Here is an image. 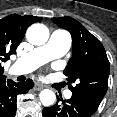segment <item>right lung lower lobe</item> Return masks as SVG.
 Listing matches in <instances>:
<instances>
[{
    "mask_svg": "<svg viewBox=\"0 0 117 117\" xmlns=\"http://www.w3.org/2000/svg\"><path fill=\"white\" fill-rule=\"evenodd\" d=\"M33 84L31 79L20 83L12 80L0 83V117H15L17 95L28 92Z\"/></svg>",
    "mask_w": 117,
    "mask_h": 117,
    "instance_id": "98d812e1",
    "label": "right lung lower lobe"
}]
</instances>
